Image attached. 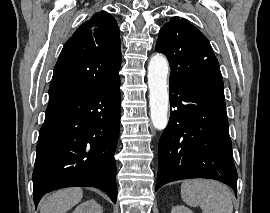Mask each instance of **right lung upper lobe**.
I'll return each mask as SVG.
<instances>
[{"label": "right lung upper lobe", "instance_id": "1", "mask_svg": "<svg viewBox=\"0 0 270 213\" xmlns=\"http://www.w3.org/2000/svg\"><path fill=\"white\" fill-rule=\"evenodd\" d=\"M121 41L116 20L101 11L79 26L54 68L49 101L100 89L119 78Z\"/></svg>", "mask_w": 270, "mask_h": 213}]
</instances>
